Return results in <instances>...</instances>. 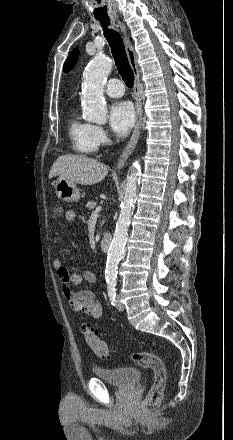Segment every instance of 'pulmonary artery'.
<instances>
[{"label":"pulmonary artery","instance_id":"e3ab8cb5","mask_svg":"<svg viewBox=\"0 0 233 440\" xmlns=\"http://www.w3.org/2000/svg\"><path fill=\"white\" fill-rule=\"evenodd\" d=\"M107 95L111 97H121L124 94V87L119 79H110L105 86Z\"/></svg>","mask_w":233,"mask_h":440}]
</instances>
